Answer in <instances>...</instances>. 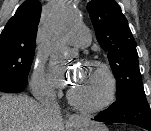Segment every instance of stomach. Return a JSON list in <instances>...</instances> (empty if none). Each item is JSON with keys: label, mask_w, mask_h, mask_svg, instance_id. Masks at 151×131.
I'll return each mask as SVG.
<instances>
[{"label": "stomach", "mask_w": 151, "mask_h": 131, "mask_svg": "<svg viewBox=\"0 0 151 131\" xmlns=\"http://www.w3.org/2000/svg\"><path fill=\"white\" fill-rule=\"evenodd\" d=\"M73 128L75 131H108L106 125L92 121H82L74 124Z\"/></svg>", "instance_id": "0dacf381"}]
</instances>
